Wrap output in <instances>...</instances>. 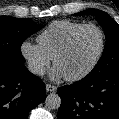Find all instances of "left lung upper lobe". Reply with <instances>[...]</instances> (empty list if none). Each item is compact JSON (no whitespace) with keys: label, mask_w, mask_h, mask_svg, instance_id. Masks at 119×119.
Listing matches in <instances>:
<instances>
[{"label":"left lung upper lobe","mask_w":119,"mask_h":119,"mask_svg":"<svg viewBox=\"0 0 119 119\" xmlns=\"http://www.w3.org/2000/svg\"><path fill=\"white\" fill-rule=\"evenodd\" d=\"M84 14L95 16L104 29L106 36L103 55L90 73L93 75H104L119 69V25L107 13L97 9H88L75 15Z\"/></svg>","instance_id":"1"}]
</instances>
